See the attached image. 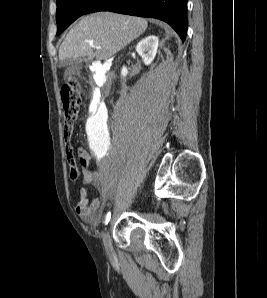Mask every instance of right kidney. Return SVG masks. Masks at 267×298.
<instances>
[{
	"mask_svg": "<svg viewBox=\"0 0 267 298\" xmlns=\"http://www.w3.org/2000/svg\"><path fill=\"white\" fill-rule=\"evenodd\" d=\"M159 39L155 35H149L142 39L136 46V52L142 57V60L145 65H150L154 60L157 48H158ZM128 74L127 68L124 66L121 70V75L126 77Z\"/></svg>",
	"mask_w": 267,
	"mask_h": 298,
	"instance_id": "right-kidney-1",
	"label": "right kidney"
}]
</instances>
